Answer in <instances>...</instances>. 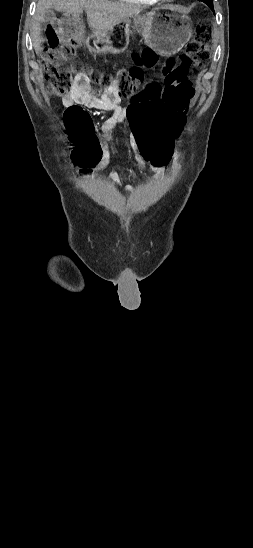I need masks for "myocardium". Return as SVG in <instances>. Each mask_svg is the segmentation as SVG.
I'll return each instance as SVG.
<instances>
[{
	"mask_svg": "<svg viewBox=\"0 0 253 548\" xmlns=\"http://www.w3.org/2000/svg\"><path fill=\"white\" fill-rule=\"evenodd\" d=\"M157 1H161V2H172L174 0H157Z\"/></svg>",
	"mask_w": 253,
	"mask_h": 548,
	"instance_id": "myocardium-1",
	"label": "myocardium"
}]
</instances>
